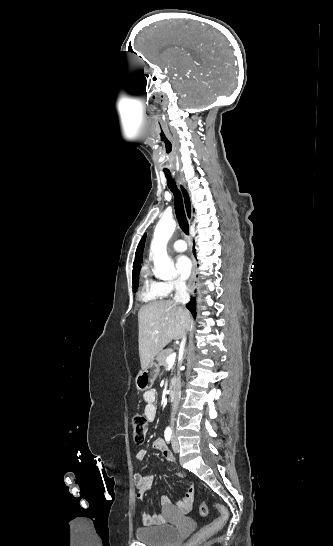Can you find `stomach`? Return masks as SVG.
<instances>
[{
  "instance_id": "0dacf381",
  "label": "stomach",
  "mask_w": 333,
  "mask_h": 546,
  "mask_svg": "<svg viewBox=\"0 0 333 546\" xmlns=\"http://www.w3.org/2000/svg\"><path fill=\"white\" fill-rule=\"evenodd\" d=\"M160 372V365L152 362L146 369L139 371L135 379V385L138 390L145 391L150 389Z\"/></svg>"
}]
</instances>
